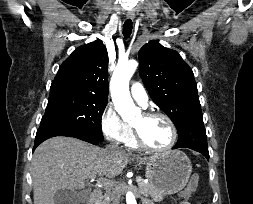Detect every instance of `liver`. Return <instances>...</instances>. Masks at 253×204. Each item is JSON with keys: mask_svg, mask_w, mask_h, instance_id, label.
Listing matches in <instances>:
<instances>
[{"mask_svg": "<svg viewBox=\"0 0 253 204\" xmlns=\"http://www.w3.org/2000/svg\"><path fill=\"white\" fill-rule=\"evenodd\" d=\"M131 156L71 137L50 138L35 150L32 159L34 204H54L58 190L83 189L86 181L97 174L104 181L113 179Z\"/></svg>", "mask_w": 253, "mask_h": 204, "instance_id": "liver-1", "label": "liver"}]
</instances>
